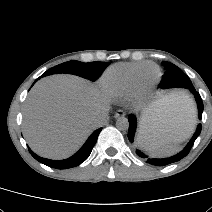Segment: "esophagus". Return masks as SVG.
Segmentation results:
<instances>
[{"instance_id":"1","label":"esophagus","mask_w":212,"mask_h":212,"mask_svg":"<svg viewBox=\"0 0 212 212\" xmlns=\"http://www.w3.org/2000/svg\"><path fill=\"white\" fill-rule=\"evenodd\" d=\"M124 116H125V112L123 110H118L114 115L115 118H121Z\"/></svg>"}]
</instances>
